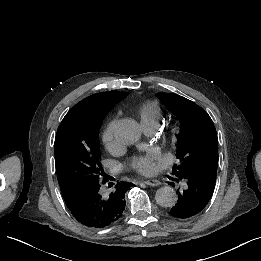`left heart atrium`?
Returning a JSON list of instances; mask_svg holds the SVG:
<instances>
[{
  "mask_svg": "<svg viewBox=\"0 0 261 261\" xmlns=\"http://www.w3.org/2000/svg\"><path fill=\"white\" fill-rule=\"evenodd\" d=\"M161 155L155 151L136 154L129 158L127 166L143 175L155 174L161 166Z\"/></svg>",
  "mask_w": 261,
  "mask_h": 261,
  "instance_id": "39dd6f15",
  "label": "left heart atrium"
}]
</instances>
